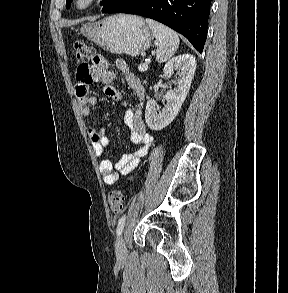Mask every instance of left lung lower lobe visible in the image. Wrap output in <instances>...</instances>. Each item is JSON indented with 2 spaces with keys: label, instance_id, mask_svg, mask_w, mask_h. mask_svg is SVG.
Wrapping results in <instances>:
<instances>
[{
  "label": "left lung lower lobe",
  "instance_id": "obj_1",
  "mask_svg": "<svg viewBox=\"0 0 288 293\" xmlns=\"http://www.w3.org/2000/svg\"><path fill=\"white\" fill-rule=\"evenodd\" d=\"M211 0H115L102 13H128L157 20L185 36L201 53Z\"/></svg>",
  "mask_w": 288,
  "mask_h": 293
}]
</instances>
